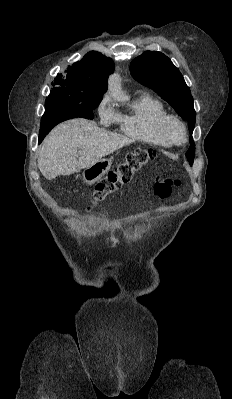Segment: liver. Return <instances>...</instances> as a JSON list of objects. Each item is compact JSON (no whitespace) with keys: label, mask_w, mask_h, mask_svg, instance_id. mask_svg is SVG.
Segmentation results:
<instances>
[{"label":"liver","mask_w":232,"mask_h":399,"mask_svg":"<svg viewBox=\"0 0 232 399\" xmlns=\"http://www.w3.org/2000/svg\"><path fill=\"white\" fill-rule=\"evenodd\" d=\"M133 140L98 128L88 120H68L56 126L45 138L38 156V168L46 180L70 176L90 168ZM77 156H80L77 160Z\"/></svg>","instance_id":"1"}]
</instances>
